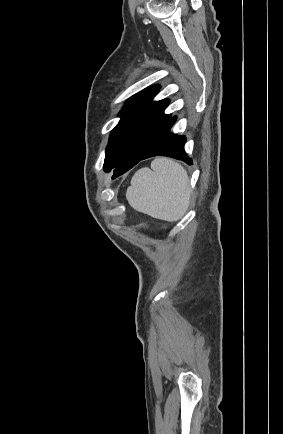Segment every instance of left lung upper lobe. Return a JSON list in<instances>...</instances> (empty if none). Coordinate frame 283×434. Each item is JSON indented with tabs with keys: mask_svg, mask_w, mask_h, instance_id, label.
<instances>
[{
	"mask_svg": "<svg viewBox=\"0 0 283 434\" xmlns=\"http://www.w3.org/2000/svg\"><path fill=\"white\" fill-rule=\"evenodd\" d=\"M158 91V85L148 87L123 106L121 120L112 130L106 148L105 172L140 158L170 120L171 114H164L169 100L153 101Z\"/></svg>",
	"mask_w": 283,
	"mask_h": 434,
	"instance_id": "obj_1",
	"label": "left lung upper lobe"
}]
</instances>
